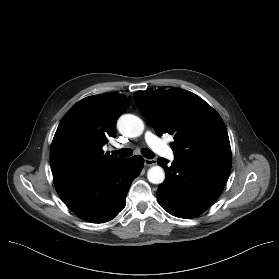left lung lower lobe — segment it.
<instances>
[{"label":"left lung lower lobe","instance_id":"obj_1","mask_svg":"<svg viewBox=\"0 0 279 279\" xmlns=\"http://www.w3.org/2000/svg\"><path fill=\"white\" fill-rule=\"evenodd\" d=\"M158 163L166 179L158 186L157 199L164 210L179 218L195 217L220 196L231 166L175 158L171 166L162 157Z\"/></svg>","mask_w":279,"mask_h":279}]
</instances>
